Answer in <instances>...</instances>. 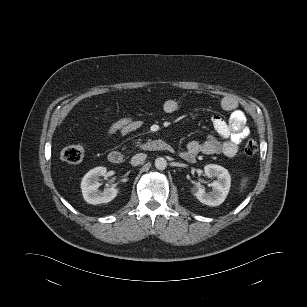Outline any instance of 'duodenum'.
<instances>
[{"label":"duodenum","mask_w":307,"mask_h":307,"mask_svg":"<svg viewBox=\"0 0 307 307\" xmlns=\"http://www.w3.org/2000/svg\"><path fill=\"white\" fill-rule=\"evenodd\" d=\"M143 151L158 152V151H171L172 147L169 143L161 139L149 140L141 143L138 147ZM108 160L112 165H121L124 161V156L119 151H111L108 154Z\"/></svg>","instance_id":"obj_1"}]
</instances>
